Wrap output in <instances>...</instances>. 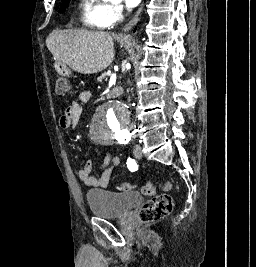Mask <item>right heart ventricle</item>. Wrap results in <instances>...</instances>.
I'll return each mask as SVG.
<instances>
[{
    "label": "right heart ventricle",
    "mask_w": 256,
    "mask_h": 267,
    "mask_svg": "<svg viewBox=\"0 0 256 267\" xmlns=\"http://www.w3.org/2000/svg\"><path fill=\"white\" fill-rule=\"evenodd\" d=\"M100 6L102 5L88 4V10L90 12V15L87 23L92 27H99L97 25V20H98V15H99L98 11ZM66 28H72V27H66Z\"/></svg>",
    "instance_id": "obj_1"
}]
</instances>
